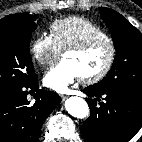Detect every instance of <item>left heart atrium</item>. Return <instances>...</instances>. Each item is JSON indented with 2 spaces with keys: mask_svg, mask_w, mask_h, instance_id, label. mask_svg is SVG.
<instances>
[{
  "mask_svg": "<svg viewBox=\"0 0 142 142\" xmlns=\"http://www.w3.org/2000/svg\"><path fill=\"white\" fill-rule=\"evenodd\" d=\"M80 78L76 66L70 60L63 59L45 74L44 83L57 92H65Z\"/></svg>",
  "mask_w": 142,
  "mask_h": 142,
  "instance_id": "left-heart-atrium-1",
  "label": "left heart atrium"
}]
</instances>
